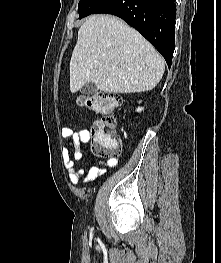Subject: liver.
Listing matches in <instances>:
<instances>
[{
    "label": "liver",
    "instance_id": "6515ba94",
    "mask_svg": "<svg viewBox=\"0 0 221 263\" xmlns=\"http://www.w3.org/2000/svg\"><path fill=\"white\" fill-rule=\"evenodd\" d=\"M70 90L94 83L106 93L152 90L165 61L155 48L121 19L92 15L80 27L70 60Z\"/></svg>",
    "mask_w": 221,
    "mask_h": 263
}]
</instances>
